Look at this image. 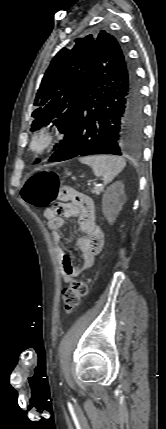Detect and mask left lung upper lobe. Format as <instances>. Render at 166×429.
Instances as JSON below:
<instances>
[{
    "mask_svg": "<svg viewBox=\"0 0 166 429\" xmlns=\"http://www.w3.org/2000/svg\"><path fill=\"white\" fill-rule=\"evenodd\" d=\"M98 35L77 38L71 47L62 48L53 58L36 94L37 109L32 114L35 120L31 130L52 122L65 135L90 75Z\"/></svg>",
    "mask_w": 166,
    "mask_h": 429,
    "instance_id": "1",
    "label": "left lung upper lobe"
}]
</instances>
